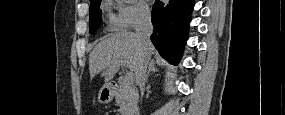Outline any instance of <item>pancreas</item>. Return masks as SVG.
Segmentation results:
<instances>
[{
    "label": "pancreas",
    "instance_id": "obj_1",
    "mask_svg": "<svg viewBox=\"0 0 285 115\" xmlns=\"http://www.w3.org/2000/svg\"><path fill=\"white\" fill-rule=\"evenodd\" d=\"M115 101L120 105L122 115H131L138 101V92L135 87L123 82L115 94Z\"/></svg>",
    "mask_w": 285,
    "mask_h": 115
}]
</instances>
